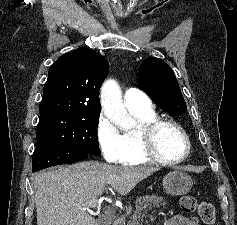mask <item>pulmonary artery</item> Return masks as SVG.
Masks as SVG:
<instances>
[{"instance_id":"1","label":"pulmonary artery","mask_w":237,"mask_h":225,"mask_svg":"<svg viewBox=\"0 0 237 225\" xmlns=\"http://www.w3.org/2000/svg\"><path fill=\"white\" fill-rule=\"evenodd\" d=\"M124 101L129 109L148 110L151 106L150 98L137 88H129L124 95Z\"/></svg>"}]
</instances>
